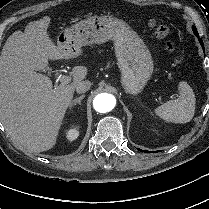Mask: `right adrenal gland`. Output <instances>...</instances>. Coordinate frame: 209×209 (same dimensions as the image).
<instances>
[{
    "mask_svg": "<svg viewBox=\"0 0 209 209\" xmlns=\"http://www.w3.org/2000/svg\"><path fill=\"white\" fill-rule=\"evenodd\" d=\"M85 96L84 95H81L77 98H75L69 105V109L71 110L76 104H79L81 105V101L82 99L84 98Z\"/></svg>",
    "mask_w": 209,
    "mask_h": 209,
    "instance_id": "right-adrenal-gland-1",
    "label": "right adrenal gland"
}]
</instances>
